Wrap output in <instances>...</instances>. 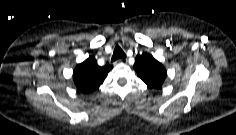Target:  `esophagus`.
Instances as JSON below:
<instances>
[{"label":"esophagus","mask_w":236,"mask_h":135,"mask_svg":"<svg viewBox=\"0 0 236 135\" xmlns=\"http://www.w3.org/2000/svg\"><path fill=\"white\" fill-rule=\"evenodd\" d=\"M116 63H121V64L127 63V59L126 58H120L116 61Z\"/></svg>","instance_id":"34e87169"}]
</instances>
